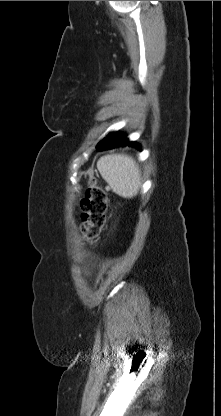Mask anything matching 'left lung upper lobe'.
Listing matches in <instances>:
<instances>
[{
	"mask_svg": "<svg viewBox=\"0 0 221 416\" xmlns=\"http://www.w3.org/2000/svg\"><path fill=\"white\" fill-rule=\"evenodd\" d=\"M119 137H123V135H121L119 133H112V134H109L103 141L114 140V139L119 138Z\"/></svg>",
	"mask_w": 221,
	"mask_h": 416,
	"instance_id": "5c2ea615",
	"label": "left lung upper lobe"
}]
</instances>
